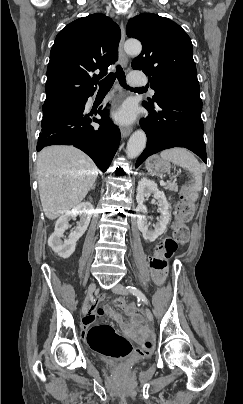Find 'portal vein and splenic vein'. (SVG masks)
<instances>
[{"mask_svg":"<svg viewBox=\"0 0 243 404\" xmlns=\"http://www.w3.org/2000/svg\"><path fill=\"white\" fill-rule=\"evenodd\" d=\"M159 185H160V186H165V185H166V182H165L164 180H161V181L159 182Z\"/></svg>","mask_w":243,"mask_h":404,"instance_id":"1","label":"portal vein and splenic vein"}]
</instances>
